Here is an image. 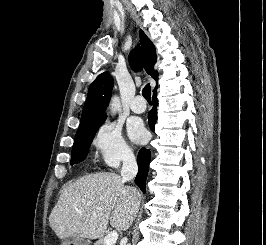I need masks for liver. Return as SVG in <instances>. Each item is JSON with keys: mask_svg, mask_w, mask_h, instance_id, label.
<instances>
[{"mask_svg": "<svg viewBox=\"0 0 266 245\" xmlns=\"http://www.w3.org/2000/svg\"><path fill=\"white\" fill-rule=\"evenodd\" d=\"M140 201L139 191L115 173L85 175L62 189L49 225L59 239H101L109 221L116 231L129 229Z\"/></svg>", "mask_w": 266, "mask_h": 245, "instance_id": "obj_1", "label": "liver"}]
</instances>
